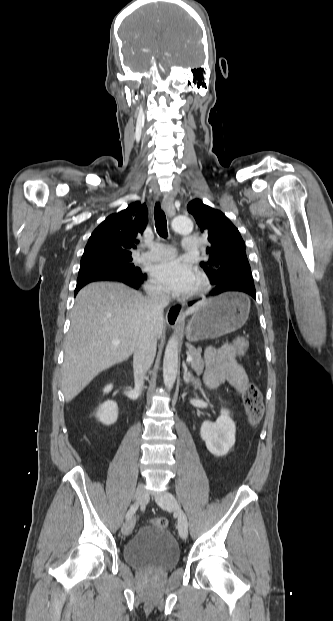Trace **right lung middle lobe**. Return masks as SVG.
Returning a JSON list of instances; mask_svg holds the SVG:
<instances>
[{
  "label": "right lung middle lobe",
  "instance_id": "right-lung-middle-lobe-1",
  "mask_svg": "<svg viewBox=\"0 0 333 621\" xmlns=\"http://www.w3.org/2000/svg\"><path fill=\"white\" fill-rule=\"evenodd\" d=\"M107 273L121 276H140V269L132 263V257H96L82 258L80 274Z\"/></svg>",
  "mask_w": 333,
  "mask_h": 621
}]
</instances>
